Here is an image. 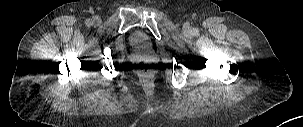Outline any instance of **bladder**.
Instances as JSON below:
<instances>
[{
    "label": "bladder",
    "instance_id": "obj_1",
    "mask_svg": "<svg viewBox=\"0 0 303 127\" xmlns=\"http://www.w3.org/2000/svg\"><path fill=\"white\" fill-rule=\"evenodd\" d=\"M129 42L134 47H142L146 43L145 33L141 30H134L129 35Z\"/></svg>",
    "mask_w": 303,
    "mask_h": 127
}]
</instances>
